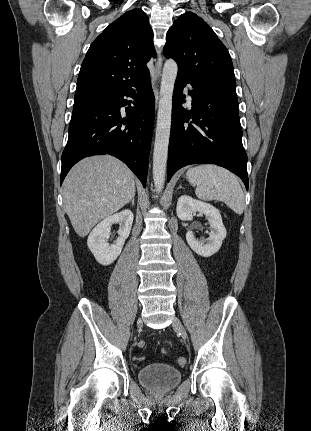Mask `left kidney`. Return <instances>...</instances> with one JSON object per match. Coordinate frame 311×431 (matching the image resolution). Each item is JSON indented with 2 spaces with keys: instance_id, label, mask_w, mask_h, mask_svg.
Segmentation results:
<instances>
[{
  "instance_id": "obj_1",
  "label": "left kidney",
  "mask_w": 311,
  "mask_h": 431,
  "mask_svg": "<svg viewBox=\"0 0 311 431\" xmlns=\"http://www.w3.org/2000/svg\"><path fill=\"white\" fill-rule=\"evenodd\" d=\"M176 212L179 219H183V221L193 219V214L199 212V214H204L210 223L211 231L207 239H196L193 231H187V243L193 251L202 257H210L220 249L227 231L219 210H216L211 204H206V202L193 200L190 196H180Z\"/></svg>"
}]
</instances>
